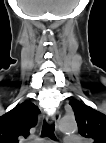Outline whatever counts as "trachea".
I'll return each mask as SVG.
<instances>
[{
    "label": "trachea",
    "instance_id": "1",
    "mask_svg": "<svg viewBox=\"0 0 106 143\" xmlns=\"http://www.w3.org/2000/svg\"><path fill=\"white\" fill-rule=\"evenodd\" d=\"M55 125H48L45 121L42 126V136L50 137L51 139H55L54 136Z\"/></svg>",
    "mask_w": 106,
    "mask_h": 143
}]
</instances>
